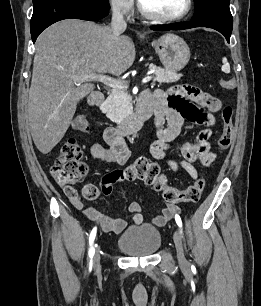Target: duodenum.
<instances>
[{
  "mask_svg": "<svg viewBox=\"0 0 261 306\" xmlns=\"http://www.w3.org/2000/svg\"><path fill=\"white\" fill-rule=\"evenodd\" d=\"M103 102L104 95L100 92L94 93L90 97V104L94 107H100ZM152 114V105L141 98L136 111L119 124L117 132L120 135H128L138 131L143 123L152 116Z\"/></svg>",
  "mask_w": 261,
  "mask_h": 306,
  "instance_id": "410a0bca",
  "label": "duodenum"
}]
</instances>
